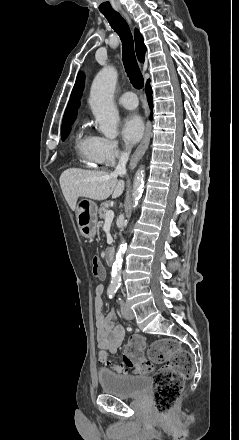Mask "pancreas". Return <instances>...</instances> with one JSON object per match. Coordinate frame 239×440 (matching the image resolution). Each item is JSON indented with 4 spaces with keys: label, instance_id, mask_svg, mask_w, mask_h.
I'll list each match as a JSON object with an SVG mask.
<instances>
[{
    "label": "pancreas",
    "instance_id": "1",
    "mask_svg": "<svg viewBox=\"0 0 239 440\" xmlns=\"http://www.w3.org/2000/svg\"><path fill=\"white\" fill-rule=\"evenodd\" d=\"M107 208H109L108 202H104V206H100L98 212L100 220H105L106 212H108Z\"/></svg>",
    "mask_w": 239,
    "mask_h": 440
}]
</instances>
